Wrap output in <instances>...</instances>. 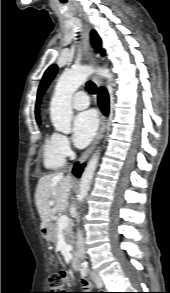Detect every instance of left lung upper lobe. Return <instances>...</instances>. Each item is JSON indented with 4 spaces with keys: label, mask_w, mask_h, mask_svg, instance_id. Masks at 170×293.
Instances as JSON below:
<instances>
[{
    "label": "left lung upper lobe",
    "mask_w": 170,
    "mask_h": 293,
    "mask_svg": "<svg viewBox=\"0 0 170 293\" xmlns=\"http://www.w3.org/2000/svg\"><path fill=\"white\" fill-rule=\"evenodd\" d=\"M91 39H92L93 46L96 48V51L100 52L101 51V40H100V38L98 37V35H97V33L95 31H92ZM56 72H57V66L55 64L51 65L46 70V72L44 73V76L42 78L41 84L39 86V89H38V97H37V99H39L40 96L43 94V92L46 90L47 86L49 85V83L54 78Z\"/></svg>",
    "instance_id": "5c2ea615"
}]
</instances>
